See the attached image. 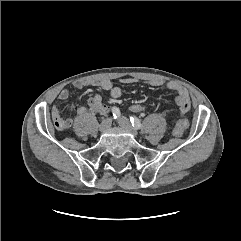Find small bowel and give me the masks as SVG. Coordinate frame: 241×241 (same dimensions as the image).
I'll return each instance as SVG.
<instances>
[{
  "instance_id": "c3829d8e",
  "label": "small bowel",
  "mask_w": 241,
  "mask_h": 241,
  "mask_svg": "<svg viewBox=\"0 0 241 241\" xmlns=\"http://www.w3.org/2000/svg\"><path fill=\"white\" fill-rule=\"evenodd\" d=\"M137 80L131 77H125L120 80L122 85H130L136 83ZM146 83L153 87H162L165 86L166 88L176 92V104L179 108L181 114H185L190 110L191 103L188 92L184 87L179 85L174 81H164L161 79H150L147 80ZM85 86H94L98 87L103 90H107L110 92V96L112 99L117 100L122 95V90L119 86L113 85V83L108 79H78L73 82V87L76 89H82ZM69 97V91L67 89H63L58 94V99L60 101H65ZM110 111L109 107L102 103V98L99 94H93L87 100V104L84 107L78 109V115H85L88 113H99L102 115L108 114ZM52 116L55 122V125L61 129H69L73 124L72 118H64L59 109L54 107L52 110Z\"/></svg>"
}]
</instances>
